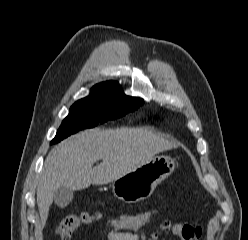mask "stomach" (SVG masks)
<instances>
[{"instance_id":"0dacf381","label":"stomach","mask_w":248,"mask_h":240,"mask_svg":"<svg viewBox=\"0 0 248 240\" xmlns=\"http://www.w3.org/2000/svg\"><path fill=\"white\" fill-rule=\"evenodd\" d=\"M170 156H156L149 162L114 180V196L126 203H137L151 196L156 186L176 168Z\"/></svg>"}]
</instances>
